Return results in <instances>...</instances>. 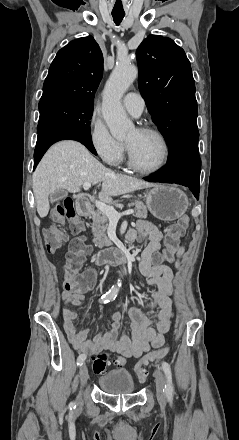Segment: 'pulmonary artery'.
Wrapping results in <instances>:
<instances>
[{
    "instance_id": "pulmonary-artery-1",
    "label": "pulmonary artery",
    "mask_w": 239,
    "mask_h": 440,
    "mask_svg": "<svg viewBox=\"0 0 239 440\" xmlns=\"http://www.w3.org/2000/svg\"><path fill=\"white\" fill-rule=\"evenodd\" d=\"M126 110L134 116H139L145 106L143 98L136 92H129L123 98Z\"/></svg>"
}]
</instances>
